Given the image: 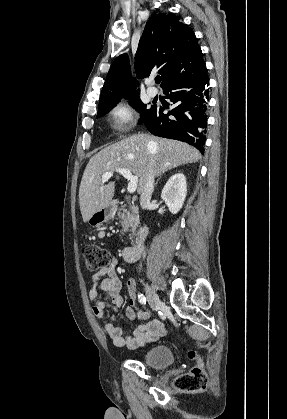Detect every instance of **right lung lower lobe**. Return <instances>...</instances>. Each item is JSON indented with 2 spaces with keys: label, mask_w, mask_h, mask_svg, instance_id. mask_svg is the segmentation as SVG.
I'll list each match as a JSON object with an SVG mask.
<instances>
[{
  "label": "right lung lower lobe",
  "mask_w": 287,
  "mask_h": 419,
  "mask_svg": "<svg viewBox=\"0 0 287 419\" xmlns=\"http://www.w3.org/2000/svg\"><path fill=\"white\" fill-rule=\"evenodd\" d=\"M209 79L204 69L197 75L179 79L163 87L167 98L175 107L167 114L168 106L154 105L150 116L143 122L154 135L176 139L195 146L204 153L207 128Z\"/></svg>",
  "instance_id": "right-lung-lower-lobe-1"
}]
</instances>
